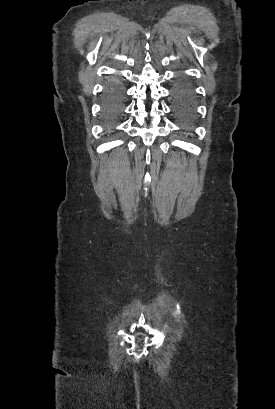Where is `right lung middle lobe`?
<instances>
[{"label":"right lung middle lobe","instance_id":"1","mask_svg":"<svg viewBox=\"0 0 275 409\" xmlns=\"http://www.w3.org/2000/svg\"><path fill=\"white\" fill-rule=\"evenodd\" d=\"M123 87L119 80H113L107 87V100L105 103V117L113 122L121 114Z\"/></svg>","mask_w":275,"mask_h":409}]
</instances>
